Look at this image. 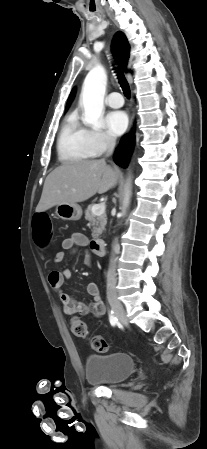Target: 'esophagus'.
<instances>
[{"mask_svg": "<svg viewBox=\"0 0 207 449\" xmlns=\"http://www.w3.org/2000/svg\"><path fill=\"white\" fill-rule=\"evenodd\" d=\"M132 125H133V117L131 118L130 128L132 127Z\"/></svg>", "mask_w": 207, "mask_h": 449, "instance_id": "34e87169", "label": "esophagus"}]
</instances>
